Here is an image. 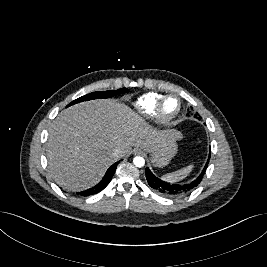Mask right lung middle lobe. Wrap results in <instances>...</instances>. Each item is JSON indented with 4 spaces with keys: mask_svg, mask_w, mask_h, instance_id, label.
I'll return each mask as SVG.
<instances>
[{
    "mask_svg": "<svg viewBox=\"0 0 267 267\" xmlns=\"http://www.w3.org/2000/svg\"><path fill=\"white\" fill-rule=\"evenodd\" d=\"M126 92H127L126 88H122V89H118V90H112V91L93 92V93L84 95V96L74 100L73 102L68 104L67 107L74 105L76 103H79V102L88 101V100H92V99H99V98H110V97H113L119 93H126Z\"/></svg>",
    "mask_w": 267,
    "mask_h": 267,
    "instance_id": "right-lung-middle-lobe-1",
    "label": "right lung middle lobe"
}]
</instances>
